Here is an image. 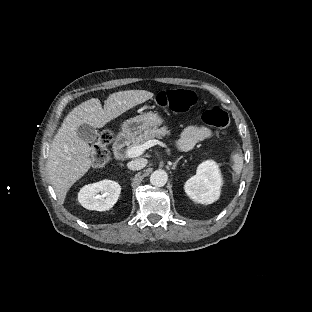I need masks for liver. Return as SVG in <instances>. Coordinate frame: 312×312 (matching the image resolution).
Masks as SVG:
<instances>
[{"mask_svg":"<svg viewBox=\"0 0 312 312\" xmlns=\"http://www.w3.org/2000/svg\"><path fill=\"white\" fill-rule=\"evenodd\" d=\"M153 92L124 90L111 93L104 102V109L97 98H91L69 112L55 135L48 157L49 180L61 204L70 188L92 168L93 149L77 135L82 124L95 129L105 128L126 111L150 100Z\"/></svg>","mask_w":312,"mask_h":312,"instance_id":"1","label":"liver"}]
</instances>
